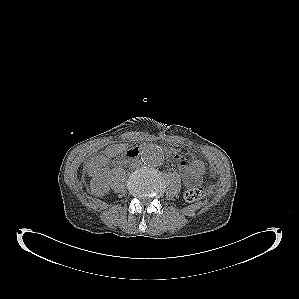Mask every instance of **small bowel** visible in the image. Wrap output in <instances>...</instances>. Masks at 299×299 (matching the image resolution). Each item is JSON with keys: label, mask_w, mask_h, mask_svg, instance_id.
I'll return each instance as SVG.
<instances>
[{"label": "small bowel", "mask_w": 299, "mask_h": 299, "mask_svg": "<svg viewBox=\"0 0 299 299\" xmlns=\"http://www.w3.org/2000/svg\"><path fill=\"white\" fill-rule=\"evenodd\" d=\"M121 150H122V148L119 146L109 147L106 150V156L108 158H113L116 155H118L121 152ZM177 162H178V165L180 168V173H181V177H182L184 184L186 186H193V185L197 184L198 182L195 180V178L193 177V175L190 171L189 163H187L185 160H182L179 157H177Z\"/></svg>", "instance_id": "obj_1"}]
</instances>
